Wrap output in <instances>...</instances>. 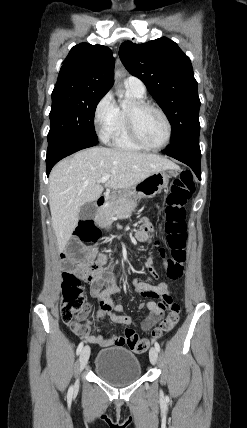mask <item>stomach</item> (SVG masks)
<instances>
[{
  "label": "stomach",
  "mask_w": 247,
  "mask_h": 428,
  "mask_svg": "<svg viewBox=\"0 0 247 428\" xmlns=\"http://www.w3.org/2000/svg\"><path fill=\"white\" fill-rule=\"evenodd\" d=\"M179 173V169L161 170L152 174L139 184L125 190V192L130 198L136 200L141 197H154L168 186L171 177H176Z\"/></svg>",
  "instance_id": "obj_1"
}]
</instances>
